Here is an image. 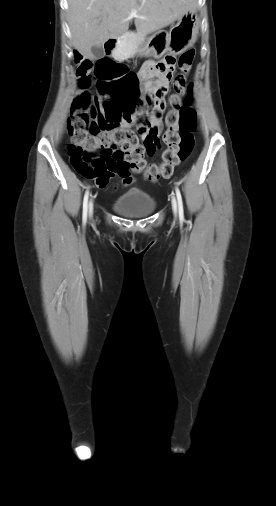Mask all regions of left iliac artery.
<instances>
[{
    "instance_id": "left-iliac-artery-1",
    "label": "left iliac artery",
    "mask_w": 276,
    "mask_h": 506,
    "mask_svg": "<svg viewBox=\"0 0 276 506\" xmlns=\"http://www.w3.org/2000/svg\"><path fill=\"white\" fill-rule=\"evenodd\" d=\"M175 191H176V196H177V200H178L179 218L181 220H183L184 219V210H183V202H182L181 192L178 187L175 188Z\"/></svg>"
}]
</instances>
